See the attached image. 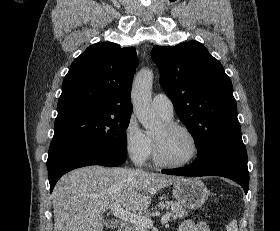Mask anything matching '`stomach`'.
Segmentation results:
<instances>
[{
	"mask_svg": "<svg viewBox=\"0 0 280 231\" xmlns=\"http://www.w3.org/2000/svg\"><path fill=\"white\" fill-rule=\"evenodd\" d=\"M172 193L178 203L188 209H198L205 203L209 189L200 179L192 177H178L173 183Z\"/></svg>",
	"mask_w": 280,
	"mask_h": 231,
	"instance_id": "stomach-1",
	"label": "stomach"
}]
</instances>
